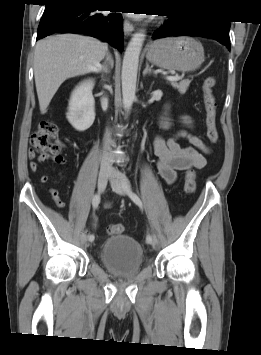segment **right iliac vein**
Masks as SVG:
<instances>
[{
  "mask_svg": "<svg viewBox=\"0 0 261 355\" xmlns=\"http://www.w3.org/2000/svg\"><path fill=\"white\" fill-rule=\"evenodd\" d=\"M111 172L109 169H102L99 173V177H98V189L99 191H103L107 185V180L110 176ZM81 241L83 243H86L87 242V237H86V234L83 233L81 235Z\"/></svg>",
  "mask_w": 261,
  "mask_h": 355,
  "instance_id": "right-iliac-vein-1",
  "label": "right iliac vein"
}]
</instances>
